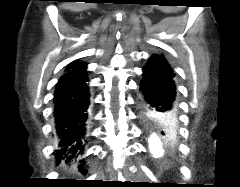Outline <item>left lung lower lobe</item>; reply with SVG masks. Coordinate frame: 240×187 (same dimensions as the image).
<instances>
[{
  "mask_svg": "<svg viewBox=\"0 0 240 187\" xmlns=\"http://www.w3.org/2000/svg\"><path fill=\"white\" fill-rule=\"evenodd\" d=\"M138 107L143 120L174 129L177 124L175 73L163 59L153 55L143 68Z\"/></svg>",
  "mask_w": 240,
  "mask_h": 187,
  "instance_id": "obj_1",
  "label": "left lung lower lobe"
}]
</instances>
